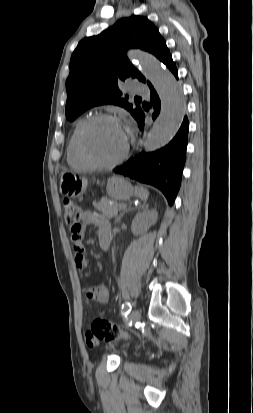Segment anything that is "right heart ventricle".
<instances>
[{
    "label": "right heart ventricle",
    "mask_w": 253,
    "mask_h": 413,
    "mask_svg": "<svg viewBox=\"0 0 253 413\" xmlns=\"http://www.w3.org/2000/svg\"><path fill=\"white\" fill-rule=\"evenodd\" d=\"M85 120L86 118H82L77 121L66 148V157L68 164L74 168L79 169L91 168V166L83 160L77 148V135L81 125L84 123Z\"/></svg>",
    "instance_id": "right-heart-ventricle-1"
}]
</instances>
